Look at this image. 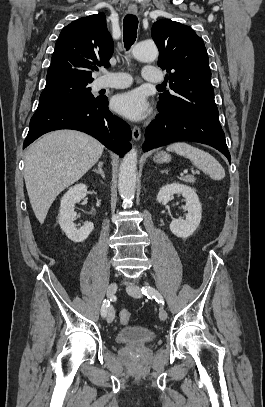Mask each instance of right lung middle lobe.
Segmentation results:
<instances>
[{"instance_id": "1", "label": "right lung middle lobe", "mask_w": 265, "mask_h": 407, "mask_svg": "<svg viewBox=\"0 0 265 407\" xmlns=\"http://www.w3.org/2000/svg\"><path fill=\"white\" fill-rule=\"evenodd\" d=\"M90 83L75 80L46 82L35 114L54 108L93 101L95 97L91 93Z\"/></svg>"}]
</instances>
